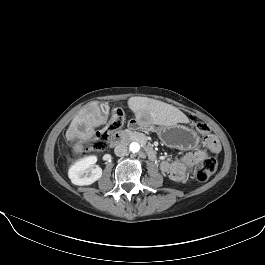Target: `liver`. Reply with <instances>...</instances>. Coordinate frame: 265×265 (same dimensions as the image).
<instances>
[{
	"mask_svg": "<svg viewBox=\"0 0 265 265\" xmlns=\"http://www.w3.org/2000/svg\"><path fill=\"white\" fill-rule=\"evenodd\" d=\"M128 107L134 112L137 120H144L148 124L171 126L178 123H189L188 117L178 108L159 100L134 96L128 99ZM104 121L101 109L97 101L83 106L74 116L66 138L68 140L78 138L81 142L90 140L95 134V127ZM75 150L80 149L76 145Z\"/></svg>",
	"mask_w": 265,
	"mask_h": 265,
	"instance_id": "obj_1",
	"label": "liver"
}]
</instances>
